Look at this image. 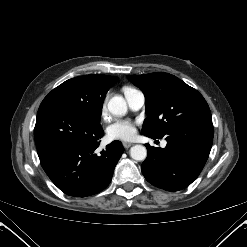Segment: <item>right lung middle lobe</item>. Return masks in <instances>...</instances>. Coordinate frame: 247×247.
Returning a JSON list of instances; mask_svg holds the SVG:
<instances>
[{
  "instance_id": "right-lung-middle-lobe-1",
  "label": "right lung middle lobe",
  "mask_w": 247,
  "mask_h": 247,
  "mask_svg": "<svg viewBox=\"0 0 247 247\" xmlns=\"http://www.w3.org/2000/svg\"><path fill=\"white\" fill-rule=\"evenodd\" d=\"M107 90L94 75L69 79L53 89L41 106L57 105L83 114L98 124Z\"/></svg>"
}]
</instances>
